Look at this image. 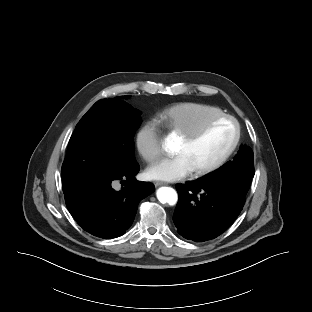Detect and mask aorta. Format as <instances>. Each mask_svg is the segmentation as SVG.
I'll list each match as a JSON object with an SVG mask.
<instances>
[{"label": "aorta", "instance_id": "aorta-1", "mask_svg": "<svg viewBox=\"0 0 312 312\" xmlns=\"http://www.w3.org/2000/svg\"><path fill=\"white\" fill-rule=\"evenodd\" d=\"M170 140L166 139L164 146L168 147ZM157 198L162 204L175 205L178 200L177 192L171 187H161L157 191Z\"/></svg>", "mask_w": 312, "mask_h": 312}]
</instances>
